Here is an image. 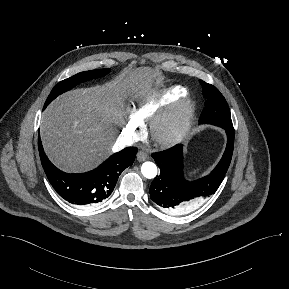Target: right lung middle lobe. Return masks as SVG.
Segmentation results:
<instances>
[{"mask_svg":"<svg viewBox=\"0 0 289 289\" xmlns=\"http://www.w3.org/2000/svg\"><path fill=\"white\" fill-rule=\"evenodd\" d=\"M110 72V69H99L94 71H86L78 73L68 79H65L61 82H59L51 91L49 94L44 109L47 107V105L54 100L58 95L70 90L71 88L75 87L81 82H85L91 79L102 77Z\"/></svg>","mask_w":289,"mask_h":289,"instance_id":"dd1d6c3e","label":"right lung middle lobe"}]
</instances>
